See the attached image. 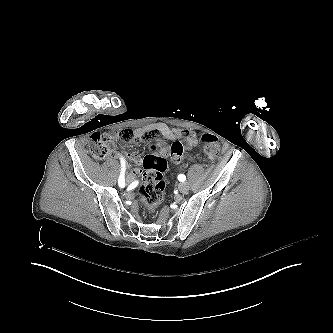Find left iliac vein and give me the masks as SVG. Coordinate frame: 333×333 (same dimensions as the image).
<instances>
[{"label":"left iliac vein","mask_w":333,"mask_h":333,"mask_svg":"<svg viewBox=\"0 0 333 333\" xmlns=\"http://www.w3.org/2000/svg\"><path fill=\"white\" fill-rule=\"evenodd\" d=\"M178 190L183 193L186 194L189 191V185L187 182H182L179 184L178 186Z\"/></svg>","instance_id":"left-iliac-vein-1"}]
</instances>
